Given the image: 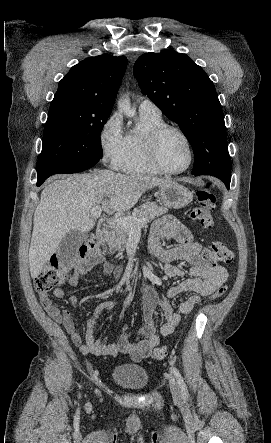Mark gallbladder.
Masks as SVG:
<instances>
[{
    "instance_id": "gallbladder-1",
    "label": "gallbladder",
    "mask_w": 271,
    "mask_h": 443,
    "mask_svg": "<svg viewBox=\"0 0 271 443\" xmlns=\"http://www.w3.org/2000/svg\"><path fill=\"white\" fill-rule=\"evenodd\" d=\"M87 237H89L88 233H81V231H75V229H71L69 233H66L56 249L58 259L63 260V269L79 268L80 252L78 247L82 245Z\"/></svg>"
}]
</instances>
